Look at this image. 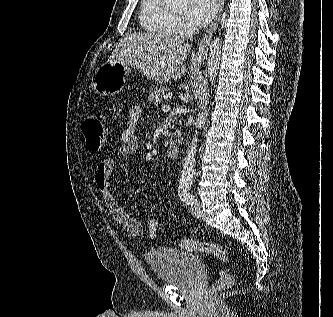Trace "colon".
I'll list each match as a JSON object with an SVG mask.
<instances>
[{
	"instance_id": "1",
	"label": "colon",
	"mask_w": 333,
	"mask_h": 317,
	"mask_svg": "<svg viewBox=\"0 0 333 317\" xmlns=\"http://www.w3.org/2000/svg\"><path fill=\"white\" fill-rule=\"evenodd\" d=\"M81 128L85 136L87 147L90 150H99L107 143V133L99 116L95 114L86 116L82 122ZM158 228V220L152 219L149 223V234L151 238L156 237ZM179 247L189 251L210 253L217 257L223 264H227L229 261L227 250L213 242L182 239L179 241ZM233 280V276L230 274L227 267H223L214 289L220 290L229 288L233 284Z\"/></svg>"
}]
</instances>
